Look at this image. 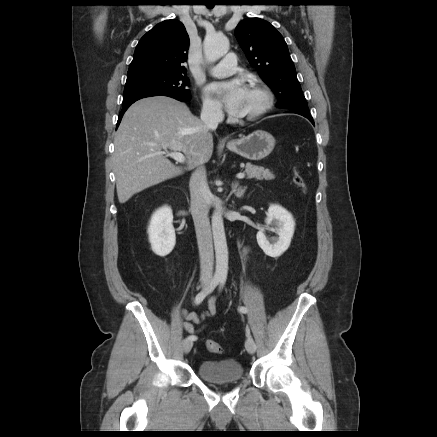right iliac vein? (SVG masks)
I'll use <instances>...</instances> for the list:
<instances>
[{"mask_svg": "<svg viewBox=\"0 0 437 437\" xmlns=\"http://www.w3.org/2000/svg\"><path fill=\"white\" fill-rule=\"evenodd\" d=\"M192 346H193V341L191 339H185L182 343L184 353L185 354L189 353L192 349Z\"/></svg>", "mask_w": 437, "mask_h": 437, "instance_id": "right-iliac-vein-1", "label": "right iliac vein"}]
</instances>
